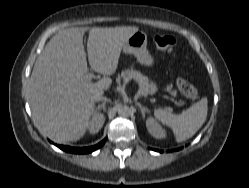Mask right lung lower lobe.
I'll list each match as a JSON object with an SVG mask.
<instances>
[{
	"mask_svg": "<svg viewBox=\"0 0 249 188\" xmlns=\"http://www.w3.org/2000/svg\"><path fill=\"white\" fill-rule=\"evenodd\" d=\"M105 141H106V139L102 140L97 145L90 146V147H85V148H75V147L62 146V145H58V147L60 149L64 150V151H66V152L85 154V153H90V152H93V151L97 150L98 148H100L101 146H103V144L105 143Z\"/></svg>",
	"mask_w": 249,
	"mask_h": 188,
	"instance_id": "right-lung-lower-lobe-1",
	"label": "right lung lower lobe"
}]
</instances>
